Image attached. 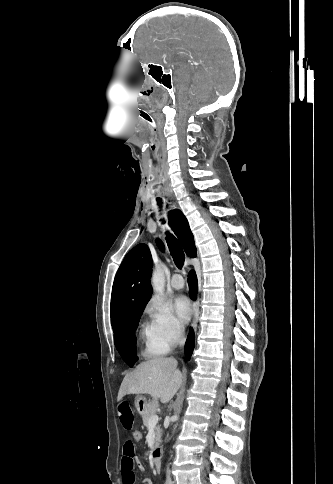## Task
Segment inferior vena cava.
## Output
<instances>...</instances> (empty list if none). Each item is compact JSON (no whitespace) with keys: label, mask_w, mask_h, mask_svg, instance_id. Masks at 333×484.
<instances>
[{"label":"inferior vena cava","mask_w":333,"mask_h":484,"mask_svg":"<svg viewBox=\"0 0 333 484\" xmlns=\"http://www.w3.org/2000/svg\"><path fill=\"white\" fill-rule=\"evenodd\" d=\"M177 341H178V344L180 346H183L184 343H185V337H184L183 329L182 328H178V330H177ZM166 484H172V480L170 478V470L169 469H167Z\"/></svg>","instance_id":"602c4592"}]
</instances>
